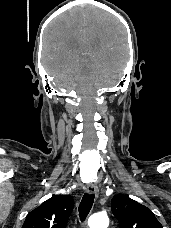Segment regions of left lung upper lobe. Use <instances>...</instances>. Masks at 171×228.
I'll return each mask as SVG.
<instances>
[{
    "mask_svg": "<svg viewBox=\"0 0 171 228\" xmlns=\"http://www.w3.org/2000/svg\"><path fill=\"white\" fill-rule=\"evenodd\" d=\"M111 208L120 228H162L151 210L123 194L112 198Z\"/></svg>",
    "mask_w": 171,
    "mask_h": 228,
    "instance_id": "5c2ea615",
    "label": "left lung upper lobe"
}]
</instances>
